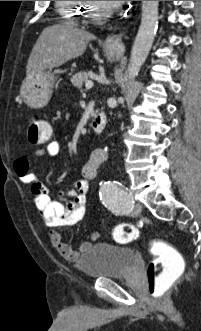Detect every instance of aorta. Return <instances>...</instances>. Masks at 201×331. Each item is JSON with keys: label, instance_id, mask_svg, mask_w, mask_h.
<instances>
[{"label": "aorta", "instance_id": "obj_1", "mask_svg": "<svg viewBox=\"0 0 201 331\" xmlns=\"http://www.w3.org/2000/svg\"><path fill=\"white\" fill-rule=\"evenodd\" d=\"M158 25V1H142L141 24L135 38L127 78L133 80L144 64L154 41Z\"/></svg>", "mask_w": 201, "mask_h": 331}]
</instances>
